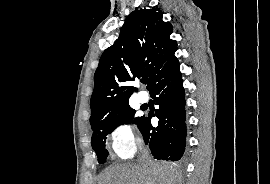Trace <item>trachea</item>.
<instances>
[{"label": "trachea", "instance_id": "3493384b", "mask_svg": "<svg viewBox=\"0 0 270 184\" xmlns=\"http://www.w3.org/2000/svg\"><path fill=\"white\" fill-rule=\"evenodd\" d=\"M142 82H143L144 84H146V83L148 82V80H143Z\"/></svg>", "mask_w": 270, "mask_h": 184}]
</instances>
